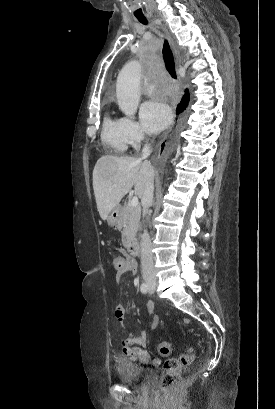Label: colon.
<instances>
[{
	"mask_svg": "<svg viewBox=\"0 0 275 409\" xmlns=\"http://www.w3.org/2000/svg\"><path fill=\"white\" fill-rule=\"evenodd\" d=\"M112 263L118 274L124 273L125 263L122 256H114ZM172 351L171 342L169 340H162L160 342L159 356L161 358H168ZM195 350L193 347H189L185 352L179 356L171 357L167 359L165 363V371L160 380L161 388L165 389L174 386L180 379L183 368L194 362Z\"/></svg>",
	"mask_w": 275,
	"mask_h": 409,
	"instance_id": "colon-1",
	"label": "colon"
}]
</instances>
